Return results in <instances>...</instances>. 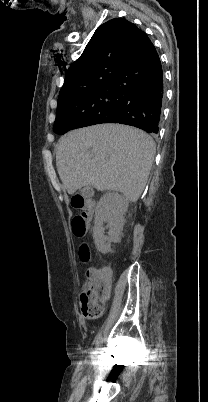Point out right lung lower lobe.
I'll list each match as a JSON object with an SVG mask.
<instances>
[{
  "instance_id": "98d812e1",
  "label": "right lung lower lobe",
  "mask_w": 208,
  "mask_h": 402,
  "mask_svg": "<svg viewBox=\"0 0 208 402\" xmlns=\"http://www.w3.org/2000/svg\"><path fill=\"white\" fill-rule=\"evenodd\" d=\"M117 88V105L110 112L81 120L62 121L56 133L100 123H120L148 133L159 131L164 84L157 51L148 37L113 81Z\"/></svg>"
}]
</instances>
